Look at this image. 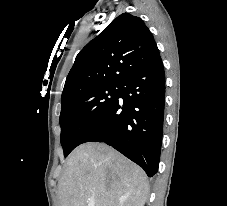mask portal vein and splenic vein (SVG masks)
I'll return each mask as SVG.
<instances>
[{"instance_id": "portal-vein-and-splenic-vein-1", "label": "portal vein and splenic vein", "mask_w": 227, "mask_h": 206, "mask_svg": "<svg viewBox=\"0 0 227 206\" xmlns=\"http://www.w3.org/2000/svg\"><path fill=\"white\" fill-rule=\"evenodd\" d=\"M87 206H95V201L93 200L88 201Z\"/></svg>"}]
</instances>
